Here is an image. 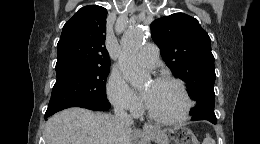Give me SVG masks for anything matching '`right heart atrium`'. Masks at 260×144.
I'll return each instance as SVG.
<instances>
[{"label": "right heart atrium", "mask_w": 260, "mask_h": 144, "mask_svg": "<svg viewBox=\"0 0 260 144\" xmlns=\"http://www.w3.org/2000/svg\"><path fill=\"white\" fill-rule=\"evenodd\" d=\"M106 92L109 101L120 110L137 113L141 108L139 97L119 73L110 74Z\"/></svg>", "instance_id": "1"}]
</instances>
